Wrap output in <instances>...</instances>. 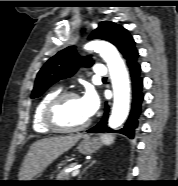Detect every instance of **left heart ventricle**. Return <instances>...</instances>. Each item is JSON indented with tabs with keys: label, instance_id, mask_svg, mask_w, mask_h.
I'll list each match as a JSON object with an SVG mask.
<instances>
[{
	"label": "left heart ventricle",
	"instance_id": "b2bd125f",
	"mask_svg": "<svg viewBox=\"0 0 178 186\" xmlns=\"http://www.w3.org/2000/svg\"><path fill=\"white\" fill-rule=\"evenodd\" d=\"M56 121L63 127H76L83 124L87 116L80 98H71L63 102L57 109Z\"/></svg>",
	"mask_w": 178,
	"mask_h": 186
}]
</instances>
